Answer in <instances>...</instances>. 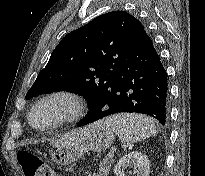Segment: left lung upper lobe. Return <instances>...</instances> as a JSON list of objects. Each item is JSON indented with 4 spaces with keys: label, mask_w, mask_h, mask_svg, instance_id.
Masks as SVG:
<instances>
[{
    "label": "left lung upper lobe",
    "mask_w": 205,
    "mask_h": 176,
    "mask_svg": "<svg viewBox=\"0 0 205 176\" xmlns=\"http://www.w3.org/2000/svg\"><path fill=\"white\" fill-rule=\"evenodd\" d=\"M145 33L139 20L124 11L96 17L60 41L26 98L65 90L84 95L90 109Z\"/></svg>",
    "instance_id": "5c2ea615"
}]
</instances>
